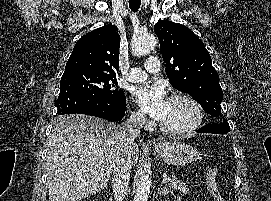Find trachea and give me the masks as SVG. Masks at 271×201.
<instances>
[{"instance_id": "1", "label": "trachea", "mask_w": 271, "mask_h": 201, "mask_svg": "<svg viewBox=\"0 0 271 201\" xmlns=\"http://www.w3.org/2000/svg\"><path fill=\"white\" fill-rule=\"evenodd\" d=\"M141 6V0H129V7L132 11L136 12Z\"/></svg>"}]
</instances>
